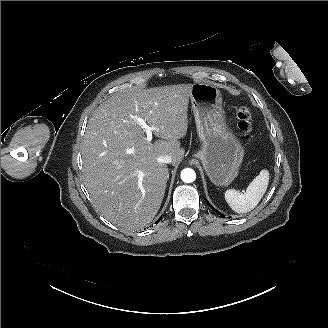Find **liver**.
Here are the masks:
<instances>
[{
  "label": "liver",
  "mask_w": 328,
  "mask_h": 328,
  "mask_svg": "<svg viewBox=\"0 0 328 328\" xmlns=\"http://www.w3.org/2000/svg\"><path fill=\"white\" fill-rule=\"evenodd\" d=\"M190 91V84L134 88L104 101L89 119L81 148L84 185L96 210L118 227L138 229L157 214L169 177L157 158L170 155L173 165L178 162ZM135 115L161 140L147 142Z\"/></svg>",
  "instance_id": "liver-1"
}]
</instances>
